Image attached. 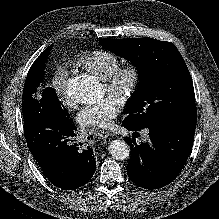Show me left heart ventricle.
Returning <instances> with one entry per match:
<instances>
[{"instance_id": "1", "label": "left heart ventricle", "mask_w": 219, "mask_h": 219, "mask_svg": "<svg viewBox=\"0 0 219 219\" xmlns=\"http://www.w3.org/2000/svg\"><path fill=\"white\" fill-rule=\"evenodd\" d=\"M104 91H106L105 87L103 86Z\"/></svg>"}]
</instances>
